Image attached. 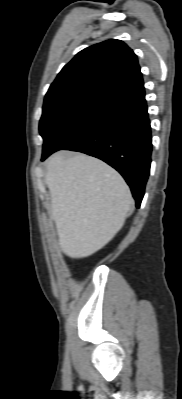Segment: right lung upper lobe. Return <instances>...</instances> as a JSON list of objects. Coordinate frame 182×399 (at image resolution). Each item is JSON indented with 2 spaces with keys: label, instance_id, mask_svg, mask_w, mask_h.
I'll return each mask as SVG.
<instances>
[{
  "label": "right lung upper lobe",
  "instance_id": "obj_1",
  "mask_svg": "<svg viewBox=\"0 0 182 399\" xmlns=\"http://www.w3.org/2000/svg\"><path fill=\"white\" fill-rule=\"evenodd\" d=\"M144 85L134 52L120 40H107L80 51L60 71L46 99L88 94L108 99Z\"/></svg>",
  "mask_w": 182,
  "mask_h": 399
}]
</instances>
